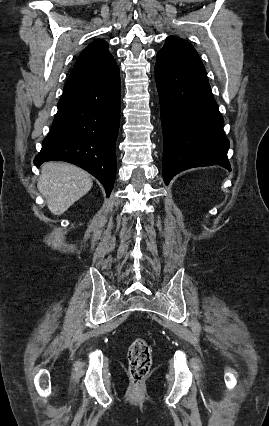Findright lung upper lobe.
Returning a JSON list of instances; mask_svg holds the SVG:
<instances>
[{
	"label": "right lung upper lobe",
	"mask_w": 269,
	"mask_h": 426,
	"mask_svg": "<svg viewBox=\"0 0 269 426\" xmlns=\"http://www.w3.org/2000/svg\"><path fill=\"white\" fill-rule=\"evenodd\" d=\"M113 56L108 51V43L96 40L79 55L68 80L101 75L116 67Z\"/></svg>",
	"instance_id": "right-lung-upper-lobe-1"
}]
</instances>
